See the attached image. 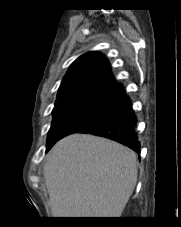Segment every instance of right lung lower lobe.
<instances>
[{
  "mask_svg": "<svg viewBox=\"0 0 181 227\" xmlns=\"http://www.w3.org/2000/svg\"><path fill=\"white\" fill-rule=\"evenodd\" d=\"M136 121L130 99L119 84L103 106L69 127L61 138L76 132L91 133L115 140L140 153V143L135 132ZM55 143L47 144V151Z\"/></svg>",
  "mask_w": 181,
  "mask_h": 227,
  "instance_id": "1",
  "label": "right lung lower lobe"
}]
</instances>
